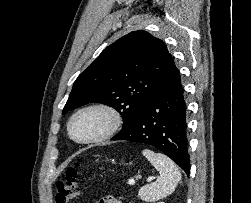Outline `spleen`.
I'll return each mask as SVG.
<instances>
[{"mask_svg": "<svg viewBox=\"0 0 251 203\" xmlns=\"http://www.w3.org/2000/svg\"><path fill=\"white\" fill-rule=\"evenodd\" d=\"M143 155L159 171L157 180L139 190V197L145 202H154L170 195L181 182V173L175 163L166 155L144 149Z\"/></svg>", "mask_w": 251, "mask_h": 203, "instance_id": "spleen-1", "label": "spleen"}]
</instances>
